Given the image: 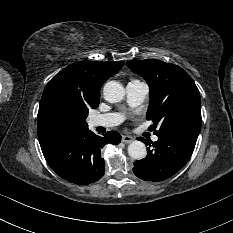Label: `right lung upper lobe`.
I'll use <instances>...</instances> for the list:
<instances>
[{"mask_svg": "<svg viewBox=\"0 0 233 233\" xmlns=\"http://www.w3.org/2000/svg\"><path fill=\"white\" fill-rule=\"evenodd\" d=\"M124 62H76L61 70L47 84L40 104L52 93H61L87 107L97 108L103 83L117 73ZM38 127V132L46 131Z\"/></svg>", "mask_w": 233, "mask_h": 233, "instance_id": "1", "label": "right lung upper lobe"}]
</instances>
